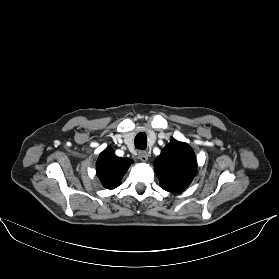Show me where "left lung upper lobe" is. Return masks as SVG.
<instances>
[{
    "label": "left lung upper lobe",
    "mask_w": 279,
    "mask_h": 279,
    "mask_svg": "<svg viewBox=\"0 0 279 279\" xmlns=\"http://www.w3.org/2000/svg\"><path fill=\"white\" fill-rule=\"evenodd\" d=\"M154 171L164 190L183 191L196 175V156L188 144L171 140L155 159Z\"/></svg>",
    "instance_id": "5c2ea615"
}]
</instances>
